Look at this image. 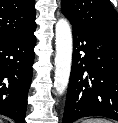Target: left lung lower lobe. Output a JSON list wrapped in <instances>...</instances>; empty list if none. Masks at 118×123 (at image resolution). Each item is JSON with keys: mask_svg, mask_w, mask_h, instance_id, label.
<instances>
[{"mask_svg": "<svg viewBox=\"0 0 118 123\" xmlns=\"http://www.w3.org/2000/svg\"><path fill=\"white\" fill-rule=\"evenodd\" d=\"M118 121V38L73 27V59L62 123Z\"/></svg>", "mask_w": 118, "mask_h": 123, "instance_id": "1", "label": "left lung lower lobe"}]
</instances>
